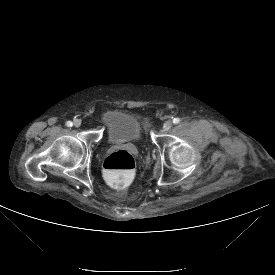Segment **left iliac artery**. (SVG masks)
I'll list each match as a JSON object with an SVG mask.
<instances>
[{"mask_svg":"<svg viewBox=\"0 0 275 275\" xmlns=\"http://www.w3.org/2000/svg\"><path fill=\"white\" fill-rule=\"evenodd\" d=\"M179 122H180V118H174V119H173V123H174V124H178Z\"/></svg>","mask_w":275,"mask_h":275,"instance_id":"left-iliac-artery-1","label":"left iliac artery"}]
</instances>
